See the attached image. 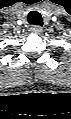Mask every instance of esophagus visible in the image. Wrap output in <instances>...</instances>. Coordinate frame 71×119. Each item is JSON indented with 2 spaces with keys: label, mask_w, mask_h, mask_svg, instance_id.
<instances>
[{
  "label": "esophagus",
  "mask_w": 71,
  "mask_h": 119,
  "mask_svg": "<svg viewBox=\"0 0 71 119\" xmlns=\"http://www.w3.org/2000/svg\"><path fill=\"white\" fill-rule=\"evenodd\" d=\"M30 31L34 34H40L42 32V27L38 25H34L30 28Z\"/></svg>",
  "instance_id": "34e87169"
}]
</instances>
